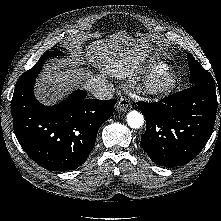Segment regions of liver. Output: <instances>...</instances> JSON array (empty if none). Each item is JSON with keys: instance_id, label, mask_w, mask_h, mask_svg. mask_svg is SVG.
<instances>
[{"instance_id": "6515ba94", "label": "liver", "mask_w": 221, "mask_h": 221, "mask_svg": "<svg viewBox=\"0 0 221 221\" xmlns=\"http://www.w3.org/2000/svg\"><path fill=\"white\" fill-rule=\"evenodd\" d=\"M145 42L120 32L106 40L94 41L84 50L78 45L72 46V56L76 60H61L57 64L47 65L36 85L37 99L51 105L76 86L91 91L108 84L109 77L122 80L134 76L148 57V44ZM83 57L95 64L99 74L76 69V63L83 61Z\"/></svg>"}]
</instances>
